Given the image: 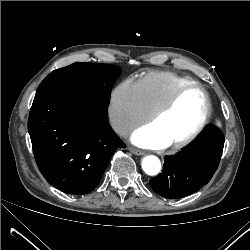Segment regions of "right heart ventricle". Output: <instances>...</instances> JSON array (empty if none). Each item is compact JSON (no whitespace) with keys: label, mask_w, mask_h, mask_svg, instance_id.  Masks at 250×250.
I'll return each mask as SVG.
<instances>
[{"label":"right heart ventricle","mask_w":250,"mask_h":250,"mask_svg":"<svg viewBox=\"0 0 250 250\" xmlns=\"http://www.w3.org/2000/svg\"><path fill=\"white\" fill-rule=\"evenodd\" d=\"M194 82L191 78L169 71H156L140 77L136 85L152 115L180 86Z\"/></svg>","instance_id":"obj_1"}]
</instances>
